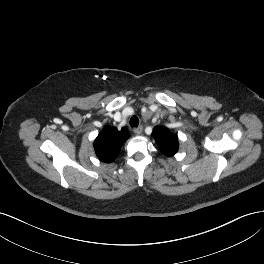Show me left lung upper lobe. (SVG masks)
Returning <instances> with one entry per match:
<instances>
[{
  "mask_svg": "<svg viewBox=\"0 0 264 264\" xmlns=\"http://www.w3.org/2000/svg\"><path fill=\"white\" fill-rule=\"evenodd\" d=\"M152 136L157 142L159 149L167 156H173L178 151V138L166 127L157 126L154 128Z\"/></svg>",
  "mask_w": 264,
  "mask_h": 264,
  "instance_id": "left-lung-upper-lobe-1",
  "label": "left lung upper lobe"
}]
</instances>
